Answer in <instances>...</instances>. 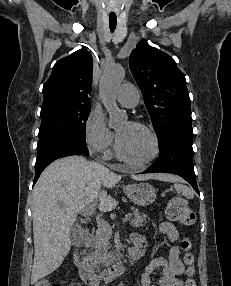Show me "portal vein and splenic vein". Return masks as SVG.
<instances>
[{"instance_id":"18ae733b","label":"portal vein and splenic vein","mask_w":231,"mask_h":286,"mask_svg":"<svg viewBox=\"0 0 231 286\" xmlns=\"http://www.w3.org/2000/svg\"><path fill=\"white\" fill-rule=\"evenodd\" d=\"M94 207H95V203L91 204V205H87L84 209V213L86 215H89V216H92L94 215ZM131 218V213H127L125 215V217L123 218V222H126L128 221L129 219ZM96 222H97V225L99 227H110L109 223L107 221H105L104 219H101V218H96Z\"/></svg>"}]
</instances>
